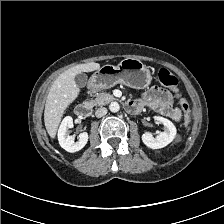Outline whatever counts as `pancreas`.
<instances>
[{
    "label": "pancreas",
    "mask_w": 224,
    "mask_h": 224,
    "mask_svg": "<svg viewBox=\"0 0 224 224\" xmlns=\"http://www.w3.org/2000/svg\"><path fill=\"white\" fill-rule=\"evenodd\" d=\"M113 100H115V97L113 95H111L110 93L102 92L96 94L95 99L92 100V104L94 106H104Z\"/></svg>",
    "instance_id": "1"
}]
</instances>
